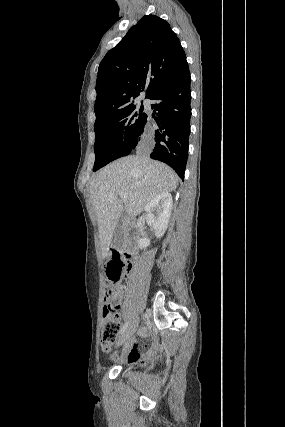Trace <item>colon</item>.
I'll use <instances>...</instances> for the list:
<instances>
[{"instance_id": "colon-1", "label": "colon", "mask_w": 285, "mask_h": 427, "mask_svg": "<svg viewBox=\"0 0 285 427\" xmlns=\"http://www.w3.org/2000/svg\"><path fill=\"white\" fill-rule=\"evenodd\" d=\"M125 270V262L122 256L113 252L106 263V274L109 286L104 293L102 346L108 350L121 334V323L116 315L120 308L122 291L120 279Z\"/></svg>"}]
</instances>
